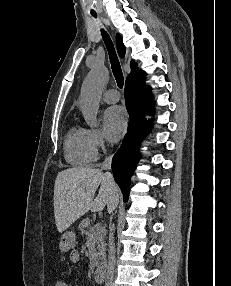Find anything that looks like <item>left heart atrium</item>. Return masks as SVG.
<instances>
[{"instance_id": "39dd6f15", "label": "left heart atrium", "mask_w": 231, "mask_h": 286, "mask_svg": "<svg viewBox=\"0 0 231 286\" xmlns=\"http://www.w3.org/2000/svg\"><path fill=\"white\" fill-rule=\"evenodd\" d=\"M127 121V113L123 107H109L103 116L104 129L109 139L116 141L121 138L126 130Z\"/></svg>"}]
</instances>
